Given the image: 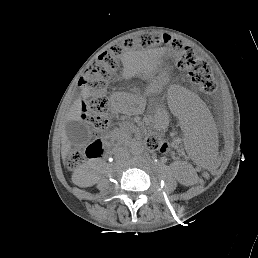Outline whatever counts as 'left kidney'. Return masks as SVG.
<instances>
[{
	"instance_id": "obj_1",
	"label": "left kidney",
	"mask_w": 258,
	"mask_h": 258,
	"mask_svg": "<svg viewBox=\"0 0 258 258\" xmlns=\"http://www.w3.org/2000/svg\"><path fill=\"white\" fill-rule=\"evenodd\" d=\"M181 180H182L181 182H182L183 184H186V185H188V184H189V181H188V179H187V178H185V177H184V178H183V179H181Z\"/></svg>"
}]
</instances>
